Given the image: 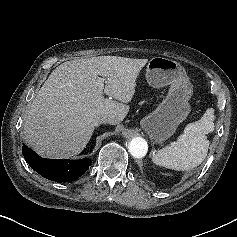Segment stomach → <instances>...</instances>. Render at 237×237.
I'll return each instance as SVG.
<instances>
[{"label":"stomach","mask_w":237,"mask_h":237,"mask_svg":"<svg viewBox=\"0 0 237 237\" xmlns=\"http://www.w3.org/2000/svg\"><path fill=\"white\" fill-rule=\"evenodd\" d=\"M146 79L154 88L169 86L166 98L140 122L149 137L161 143L175 133L191 112L193 88L180 63L164 57H153L148 62Z\"/></svg>","instance_id":"0dacf381"}]
</instances>
